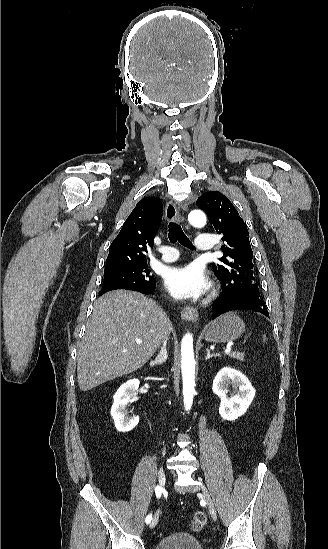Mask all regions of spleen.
I'll list each match as a JSON object with an SVG mask.
<instances>
[{
  "mask_svg": "<svg viewBox=\"0 0 328 549\" xmlns=\"http://www.w3.org/2000/svg\"><path fill=\"white\" fill-rule=\"evenodd\" d=\"M263 339H264V341H266V335H263Z\"/></svg>",
  "mask_w": 328,
  "mask_h": 549,
  "instance_id": "obj_1",
  "label": "spleen"
}]
</instances>
